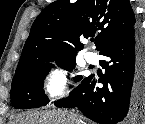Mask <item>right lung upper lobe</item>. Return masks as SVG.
<instances>
[{"mask_svg":"<svg viewBox=\"0 0 145 124\" xmlns=\"http://www.w3.org/2000/svg\"><path fill=\"white\" fill-rule=\"evenodd\" d=\"M136 24L128 0H58L49 4L32 24L15 72L49 59L75 57L80 39L96 36V50L128 32Z\"/></svg>","mask_w":145,"mask_h":124,"instance_id":"right-lung-upper-lobe-1","label":"right lung upper lobe"}]
</instances>
